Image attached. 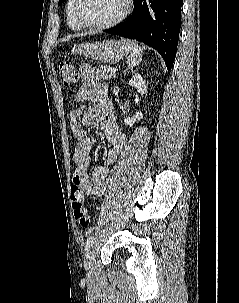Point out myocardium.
Returning <instances> with one entry per match:
<instances>
[{"instance_id":"obj_1","label":"myocardium","mask_w":239,"mask_h":303,"mask_svg":"<svg viewBox=\"0 0 239 303\" xmlns=\"http://www.w3.org/2000/svg\"><path fill=\"white\" fill-rule=\"evenodd\" d=\"M83 0H75L74 6H73V14L74 17L77 21V23L82 27L86 29H91V30H102V29H107L114 27L124 21L126 17L131 13L132 8H133V0H125V7L122 13L116 17L115 19L105 22V23H100V24H93V23H88L86 22L81 13H80V7L82 4Z\"/></svg>"}]
</instances>
